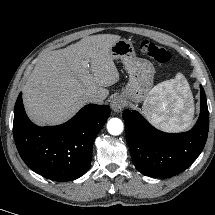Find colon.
<instances>
[{
  "label": "colon",
  "mask_w": 215,
  "mask_h": 215,
  "mask_svg": "<svg viewBox=\"0 0 215 215\" xmlns=\"http://www.w3.org/2000/svg\"><path fill=\"white\" fill-rule=\"evenodd\" d=\"M140 50L145 55L161 64L167 63L171 59V53L166 48L150 41L141 42Z\"/></svg>",
  "instance_id": "5ec220e1"
}]
</instances>
